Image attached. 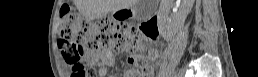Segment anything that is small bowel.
Returning <instances> with one entry per match:
<instances>
[{"label": "small bowel", "instance_id": "1", "mask_svg": "<svg viewBox=\"0 0 258 77\" xmlns=\"http://www.w3.org/2000/svg\"><path fill=\"white\" fill-rule=\"evenodd\" d=\"M157 57H158V51L155 48H152L148 51L147 61L149 63L155 62L157 60ZM87 61L91 64H99L98 65L99 72L106 73V70L108 67L115 65L116 57L111 52H107L105 54H100L98 52H89L87 54ZM151 74H152L151 67L147 66L142 73L138 71V73L134 76H129L128 74L127 76L128 77H139V76L148 77V76H151Z\"/></svg>", "mask_w": 258, "mask_h": 77}]
</instances>
